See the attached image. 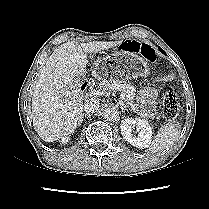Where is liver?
Instances as JSON below:
<instances>
[{"instance_id": "1", "label": "liver", "mask_w": 209, "mask_h": 209, "mask_svg": "<svg viewBox=\"0 0 209 209\" xmlns=\"http://www.w3.org/2000/svg\"><path fill=\"white\" fill-rule=\"evenodd\" d=\"M122 41L67 42L54 50L44 65L32 97L33 126L40 138L54 142L68 136L82 122L83 98L79 78H84L86 54L113 48Z\"/></svg>"}]
</instances>
